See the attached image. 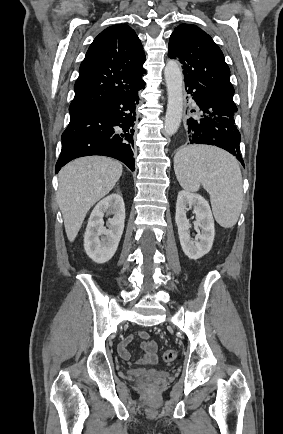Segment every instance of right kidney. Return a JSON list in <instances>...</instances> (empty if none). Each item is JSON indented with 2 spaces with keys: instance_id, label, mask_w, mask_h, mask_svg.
Masks as SVG:
<instances>
[{
  "instance_id": "obj_1",
  "label": "right kidney",
  "mask_w": 283,
  "mask_h": 434,
  "mask_svg": "<svg viewBox=\"0 0 283 434\" xmlns=\"http://www.w3.org/2000/svg\"><path fill=\"white\" fill-rule=\"evenodd\" d=\"M111 214L107 227L104 226V214ZM125 221V206L119 194H111L102 199L93 209L86 232L84 234V249L86 254L96 263L109 261L115 254Z\"/></svg>"
}]
</instances>
